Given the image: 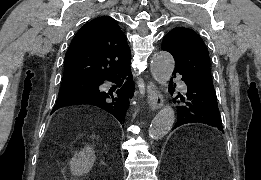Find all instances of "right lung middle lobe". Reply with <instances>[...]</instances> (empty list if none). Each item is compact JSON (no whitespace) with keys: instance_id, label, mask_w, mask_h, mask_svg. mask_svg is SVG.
<instances>
[{"instance_id":"1","label":"right lung middle lobe","mask_w":261,"mask_h":180,"mask_svg":"<svg viewBox=\"0 0 261 180\" xmlns=\"http://www.w3.org/2000/svg\"><path fill=\"white\" fill-rule=\"evenodd\" d=\"M98 81L74 80L62 81L58 100L78 93H93L97 89Z\"/></svg>"}]
</instances>
